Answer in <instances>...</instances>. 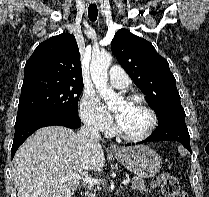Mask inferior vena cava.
I'll use <instances>...</instances> for the list:
<instances>
[{
    "label": "inferior vena cava",
    "instance_id": "1",
    "mask_svg": "<svg viewBox=\"0 0 209 197\" xmlns=\"http://www.w3.org/2000/svg\"><path fill=\"white\" fill-rule=\"evenodd\" d=\"M78 134L82 137H87L91 141L96 142V143H99V141L101 140L99 129L94 128L89 124L82 126ZM85 197H95V193L92 194V193L86 192Z\"/></svg>",
    "mask_w": 209,
    "mask_h": 197
}]
</instances>
